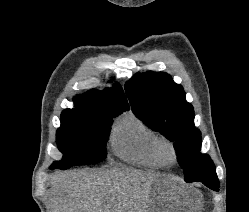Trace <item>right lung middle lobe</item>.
<instances>
[{"mask_svg": "<svg viewBox=\"0 0 249 212\" xmlns=\"http://www.w3.org/2000/svg\"><path fill=\"white\" fill-rule=\"evenodd\" d=\"M122 110L76 107L61 114V127L57 130L58 149L63 160L51 168L68 169L76 165L102 162L106 156V142L114 117Z\"/></svg>", "mask_w": 249, "mask_h": 212, "instance_id": "dd1d6c3e", "label": "right lung middle lobe"}]
</instances>
